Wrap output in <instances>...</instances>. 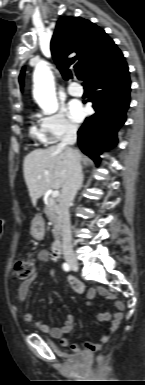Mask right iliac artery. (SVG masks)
<instances>
[{
	"label": "right iliac artery",
	"mask_w": 145,
	"mask_h": 385,
	"mask_svg": "<svg viewBox=\"0 0 145 385\" xmlns=\"http://www.w3.org/2000/svg\"><path fill=\"white\" fill-rule=\"evenodd\" d=\"M63 269L68 272L70 271V266L67 263H63Z\"/></svg>",
	"instance_id": "1"
}]
</instances>
